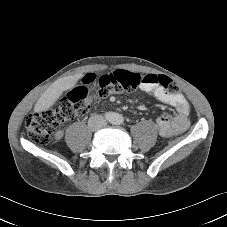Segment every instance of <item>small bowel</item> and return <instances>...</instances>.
Masks as SVG:
<instances>
[{"label": "small bowel", "mask_w": 227, "mask_h": 227, "mask_svg": "<svg viewBox=\"0 0 227 227\" xmlns=\"http://www.w3.org/2000/svg\"><path fill=\"white\" fill-rule=\"evenodd\" d=\"M152 75V74H150ZM96 83L94 74H87L82 78L84 87H91ZM141 89L149 94H152L157 100L168 104L175 108L176 113L173 116L160 115L156 119L158 131L163 137H171L178 135L189 127V104L186 98L181 93H169L162 86L156 84H143ZM62 134L58 132L57 138H61Z\"/></svg>", "instance_id": "c3829d8e"}]
</instances>
